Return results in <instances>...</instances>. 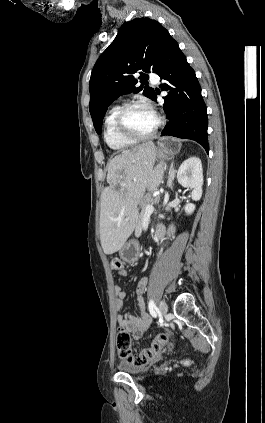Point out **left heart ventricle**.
Returning a JSON list of instances; mask_svg holds the SVG:
<instances>
[{
    "instance_id": "1",
    "label": "left heart ventricle",
    "mask_w": 265,
    "mask_h": 423,
    "mask_svg": "<svg viewBox=\"0 0 265 423\" xmlns=\"http://www.w3.org/2000/svg\"><path fill=\"white\" fill-rule=\"evenodd\" d=\"M156 121L154 112L144 107L134 108L126 117L127 127L137 135L151 132L156 125Z\"/></svg>"
}]
</instances>
